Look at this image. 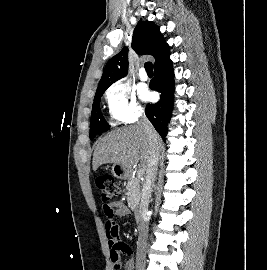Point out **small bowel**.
<instances>
[{
	"label": "small bowel",
	"instance_id": "small-bowel-1",
	"mask_svg": "<svg viewBox=\"0 0 267 270\" xmlns=\"http://www.w3.org/2000/svg\"><path fill=\"white\" fill-rule=\"evenodd\" d=\"M104 213L106 216V233L109 240V246L111 249V261L112 258L117 257L121 259V256L124 255L127 257V262L124 266V270H133L134 269V260H133V251L132 248L118 240V228L113 221L114 216L126 217L130 214L129 209L122 201H116L104 205Z\"/></svg>",
	"mask_w": 267,
	"mask_h": 270
}]
</instances>
